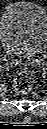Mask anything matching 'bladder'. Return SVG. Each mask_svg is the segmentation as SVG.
<instances>
[{"mask_svg": "<svg viewBox=\"0 0 47 129\" xmlns=\"http://www.w3.org/2000/svg\"><path fill=\"white\" fill-rule=\"evenodd\" d=\"M46 36L47 13L42 5L19 0L5 7L0 21V40L8 53L36 56L44 49Z\"/></svg>", "mask_w": 47, "mask_h": 129, "instance_id": "31cf9c89", "label": "bladder"}]
</instances>
